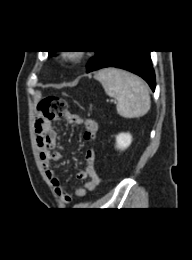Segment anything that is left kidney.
I'll use <instances>...</instances> for the list:
<instances>
[{
	"instance_id": "5707ae66",
	"label": "left kidney",
	"mask_w": 192,
	"mask_h": 260,
	"mask_svg": "<svg viewBox=\"0 0 192 260\" xmlns=\"http://www.w3.org/2000/svg\"><path fill=\"white\" fill-rule=\"evenodd\" d=\"M131 142L132 136L130 133H120L116 136V147L120 150L128 148Z\"/></svg>"
}]
</instances>
